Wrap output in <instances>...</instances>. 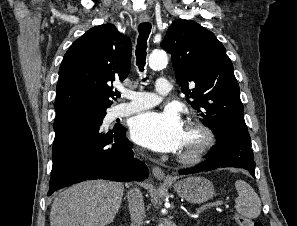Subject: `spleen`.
<instances>
[{
	"label": "spleen",
	"mask_w": 297,
	"mask_h": 226,
	"mask_svg": "<svg viewBox=\"0 0 297 226\" xmlns=\"http://www.w3.org/2000/svg\"><path fill=\"white\" fill-rule=\"evenodd\" d=\"M235 187L238 193L235 200L237 212L245 218H257L261 213V200L258 194L243 180H237Z\"/></svg>",
	"instance_id": "spleen-1"
}]
</instances>
